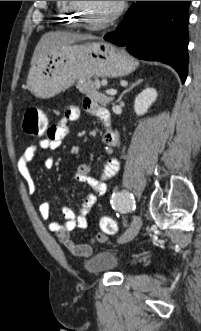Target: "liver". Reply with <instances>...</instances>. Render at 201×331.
I'll return each instance as SVG.
<instances>
[{
  "label": "liver",
  "instance_id": "obj_1",
  "mask_svg": "<svg viewBox=\"0 0 201 331\" xmlns=\"http://www.w3.org/2000/svg\"><path fill=\"white\" fill-rule=\"evenodd\" d=\"M93 39H96V37L87 34H76L65 31L47 32L41 37L34 50L31 65H34L40 58L53 52L62 45Z\"/></svg>",
  "mask_w": 201,
  "mask_h": 331
}]
</instances>
